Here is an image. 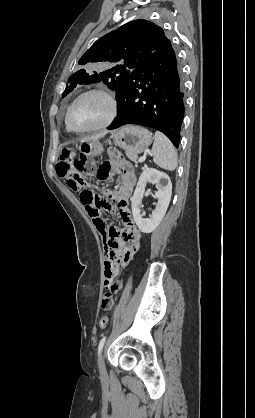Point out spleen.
Wrapping results in <instances>:
<instances>
[{"label":"spleen","instance_id":"obj_1","mask_svg":"<svg viewBox=\"0 0 255 418\" xmlns=\"http://www.w3.org/2000/svg\"><path fill=\"white\" fill-rule=\"evenodd\" d=\"M152 146L153 161L160 168L173 171L177 167V153L171 141L161 132L156 131Z\"/></svg>","mask_w":255,"mask_h":418}]
</instances>
